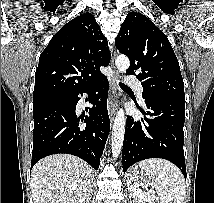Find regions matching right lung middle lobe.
Returning a JSON list of instances; mask_svg holds the SVG:
<instances>
[{"instance_id":"dd1d6c3e","label":"right lung middle lobe","mask_w":214,"mask_h":203,"mask_svg":"<svg viewBox=\"0 0 214 203\" xmlns=\"http://www.w3.org/2000/svg\"><path fill=\"white\" fill-rule=\"evenodd\" d=\"M46 98H41V99H33V104H38L40 102H42L43 100H45Z\"/></svg>"}]
</instances>
